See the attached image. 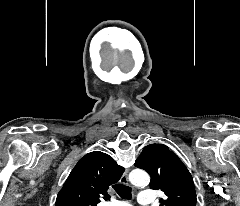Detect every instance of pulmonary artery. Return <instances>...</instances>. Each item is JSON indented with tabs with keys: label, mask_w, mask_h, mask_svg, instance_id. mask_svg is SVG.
<instances>
[{
	"label": "pulmonary artery",
	"mask_w": 240,
	"mask_h": 206,
	"mask_svg": "<svg viewBox=\"0 0 240 206\" xmlns=\"http://www.w3.org/2000/svg\"><path fill=\"white\" fill-rule=\"evenodd\" d=\"M153 193L151 190H143L138 195V202L141 205L147 206L153 202ZM107 206H131L129 203L124 201H114Z\"/></svg>",
	"instance_id": "obj_1"
}]
</instances>
